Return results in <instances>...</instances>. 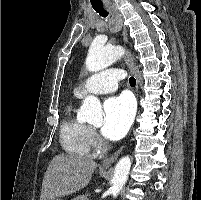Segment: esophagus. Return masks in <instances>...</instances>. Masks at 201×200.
Instances as JSON below:
<instances>
[{
	"instance_id": "obj_1",
	"label": "esophagus",
	"mask_w": 201,
	"mask_h": 200,
	"mask_svg": "<svg viewBox=\"0 0 201 200\" xmlns=\"http://www.w3.org/2000/svg\"><path fill=\"white\" fill-rule=\"evenodd\" d=\"M115 13L121 18V16L118 14L117 11H115ZM121 21H122V19H121ZM122 35H123L124 42L127 43L128 42V30H127L126 26H124V25H123ZM125 63L127 64L129 70L131 71V73L134 75V77L137 80L136 89L138 91V86L140 83V75H139L137 66L135 65L133 59L131 58V56L129 54H127L125 57ZM123 148H124V146L121 147L118 151H116L111 157L104 159L101 163L102 167L103 168L110 167L117 160V158L121 154Z\"/></svg>"
}]
</instances>
